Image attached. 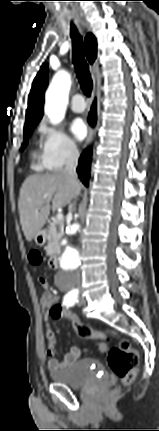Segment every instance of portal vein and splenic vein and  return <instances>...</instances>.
<instances>
[{
  "mask_svg": "<svg viewBox=\"0 0 159 431\" xmlns=\"http://www.w3.org/2000/svg\"><path fill=\"white\" fill-rule=\"evenodd\" d=\"M63 214H61V213H59V214H57V216H56V221H62L63 220Z\"/></svg>",
  "mask_w": 159,
  "mask_h": 431,
  "instance_id": "obj_1",
  "label": "portal vein and splenic vein"
}]
</instances>
